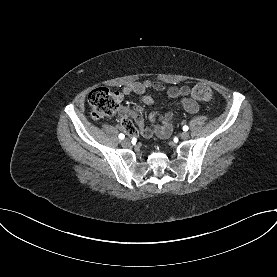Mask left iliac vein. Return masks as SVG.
Masks as SVG:
<instances>
[{"label": "left iliac vein", "mask_w": 277, "mask_h": 277, "mask_svg": "<svg viewBox=\"0 0 277 277\" xmlns=\"http://www.w3.org/2000/svg\"><path fill=\"white\" fill-rule=\"evenodd\" d=\"M180 138L181 139H183V140H186V139H188L189 138V133L188 132H182L181 134H180Z\"/></svg>", "instance_id": "obj_1"}]
</instances>
